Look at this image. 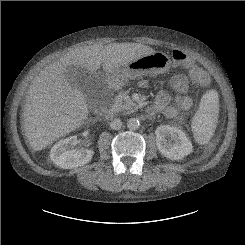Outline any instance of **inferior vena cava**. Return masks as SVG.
Listing matches in <instances>:
<instances>
[{"instance_id":"obj_1","label":"inferior vena cava","mask_w":245,"mask_h":245,"mask_svg":"<svg viewBox=\"0 0 245 245\" xmlns=\"http://www.w3.org/2000/svg\"><path fill=\"white\" fill-rule=\"evenodd\" d=\"M122 127V121L119 118H115L110 122V128L113 130H119Z\"/></svg>"}]
</instances>
